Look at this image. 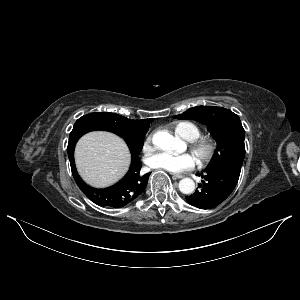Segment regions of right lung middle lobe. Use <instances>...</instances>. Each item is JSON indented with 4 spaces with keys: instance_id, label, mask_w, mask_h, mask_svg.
<instances>
[{
    "instance_id": "dd1d6c3e",
    "label": "right lung middle lobe",
    "mask_w": 300,
    "mask_h": 300,
    "mask_svg": "<svg viewBox=\"0 0 300 300\" xmlns=\"http://www.w3.org/2000/svg\"><path fill=\"white\" fill-rule=\"evenodd\" d=\"M94 130L110 131L123 137L133 154H137L142 150L145 134H130L125 132L122 130L115 115L107 112L91 113L79 118L70 133L67 150L74 148L77 140L83 134Z\"/></svg>"
}]
</instances>
